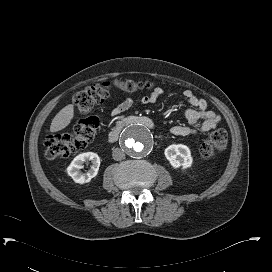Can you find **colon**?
<instances>
[{"instance_id":"colon-1","label":"colon","mask_w":272,"mask_h":272,"mask_svg":"<svg viewBox=\"0 0 272 272\" xmlns=\"http://www.w3.org/2000/svg\"><path fill=\"white\" fill-rule=\"evenodd\" d=\"M111 88L126 94H134L151 89L152 84L134 80H115L112 83L89 86L77 93L74 96V103L82 117L75 122L71 132L54 134L47 138L46 152L50 158L68 157L93 141L99 126L98 119L93 114L94 109L109 96ZM227 143L228 135L224 130L212 132L200 147L201 158L210 159L216 152L225 150Z\"/></svg>"}]
</instances>
